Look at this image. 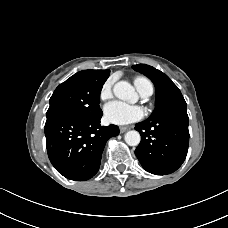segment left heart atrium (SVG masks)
<instances>
[{
    "instance_id": "left-heart-atrium-1",
    "label": "left heart atrium",
    "mask_w": 228,
    "mask_h": 228,
    "mask_svg": "<svg viewBox=\"0 0 228 228\" xmlns=\"http://www.w3.org/2000/svg\"><path fill=\"white\" fill-rule=\"evenodd\" d=\"M104 117L109 123L126 125L142 119L144 110L139 106L113 101L104 107Z\"/></svg>"
}]
</instances>
